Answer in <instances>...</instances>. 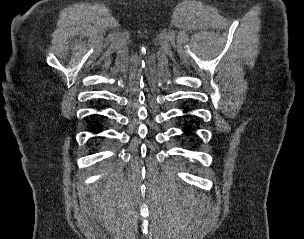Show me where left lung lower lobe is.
I'll return each mask as SVG.
<instances>
[{"label":"left lung lower lobe","mask_w":304,"mask_h":239,"mask_svg":"<svg viewBox=\"0 0 304 239\" xmlns=\"http://www.w3.org/2000/svg\"><path fill=\"white\" fill-rule=\"evenodd\" d=\"M189 130H191V127H190V126H187V127L185 128V131H189Z\"/></svg>","instance_id":"0a47b994"}]
</instances>
